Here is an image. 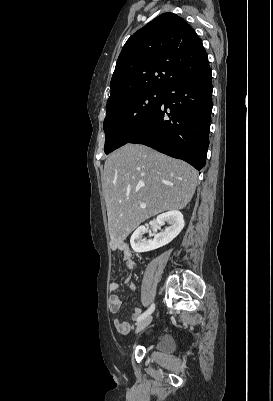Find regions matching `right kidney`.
Listing matches in <instances>:
<instances>
[{
	"label": "right kidney",
	"instance_id": "1",
	"mask_svg": "<svg viewBox=\"0 0 273 401\" xmlns=\"http://www.w3.org/2000/svg\"><path fill=\"white\" fill-rule=\"evenodd\" d=\"M165 223H168L171 227H167V229L162 231V233H157L152 241L151 239H148V241L142 239V235L147 233V229H145V227H138L130 239V245L133 251H135V253H147V251H154V249L164 247V245L171 243V241L181 233L185 225L183 215L180 211H168V213H162V215L157 217L156 221H150L149 225H158V227H163Z\"/></svg>",
	"mask_w": 273,
	"mask_h": 401
}]
</instances>
